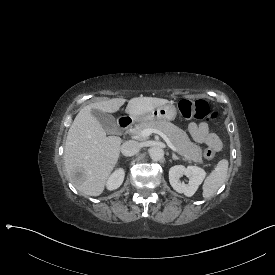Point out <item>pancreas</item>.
<instances>
[{"instance_id": "cf45deb5", "label": "pancreas", "mask_w": 275, "mask_h": 275, "mask_svg": "<svg viewBox=\"0 0 275 275\" xmlns=\"http://www.w3.org/2000/svg\"><path fill=\"white\" fill-rule=\"evenodd\" d=\"M148 128L157 129L165 133L171 140L173 146L177 148L178 153L185 159L199 162L200 164L204 163L201 147L193 144L187 137L186 133L179 127L164 120L155 122H142L132 130V133L137 135V139L145 140L146 138L138 136V133Z\"/></svg>"}]
</instances>
